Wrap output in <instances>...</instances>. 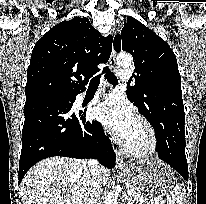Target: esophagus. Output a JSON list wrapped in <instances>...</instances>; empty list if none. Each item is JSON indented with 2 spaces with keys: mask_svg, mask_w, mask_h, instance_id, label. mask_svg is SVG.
Wrapping results in <instances>:
<instances>
[{
  "mask_svg": "<svg viewBox=\"0 0 206 204\" xmlns=\"http://www.w3.org/2000/svg\"><path fill=\"white\" fill-rule=\"evenodd\" d=\"M109 66L112 70H116V52L112 48L111 55L109 58ZM125 167L123 158L119 152L116 151V168L122 169Z\"/></svg>",
  "mask_w": 206,
  "mask_h": 204,
  "instance_id": "obj_1",
  "label": "esophagus"
}]
</instances>
